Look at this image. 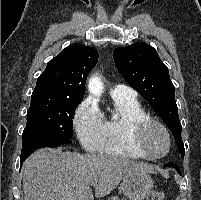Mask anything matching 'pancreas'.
I'll return each mask as SVG.
<instances>
[{"instance_id": "1", "label": "pancreas", "mask_w": 201, "mask_h": 200, "mask_svg": "<svg viewBox=\"0 0 201 200\" xmlns=\"http://www.w3.org/2000/svg\"><path fill=\"white\" fill-rule=\"evenodd\" d=\"M108 200H120V198L118 196H114V197L109 198Z\"/></svg>"}]
</instances>
